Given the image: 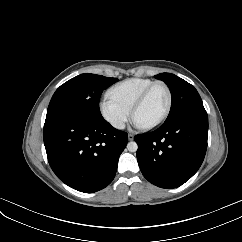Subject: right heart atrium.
<instances>
[{"label": "right heart atrium", "instance_id": "d8ad5b80", "mask_svg": "<svg viewBox=\"0 0 242 242\" xmlns=\"http://www.w3.org/2000/svg\"><path fill=\"white\" fill-rule=\"evenodd\" d=\"M99 108L103 118L117 130L123 129L130 119V111L109 97H105L100 101Z\"/></svg>", "mask_w": 242, "mask_h": 242}]
</instances>
